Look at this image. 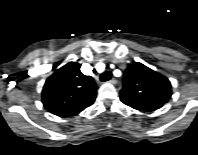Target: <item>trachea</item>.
<instances>
[{"label":"trachea","instance_id":"3493384b","mask_svg":"<svg viewBox=\"0 0 198 155\" xmlns=\"http://www.w3.org/2000/svg\"><path fill=\"white\" fill-rule=\"evenodd\" d=\"M111 77H112V73H111L110 71H106V72H104V73L101 74L100 80H101L102 82H105V81L110 80Z\"/></svg>","mask_w":198,"mask_h":155}]
</instances>
